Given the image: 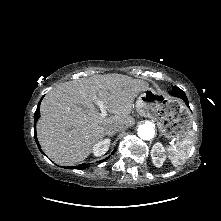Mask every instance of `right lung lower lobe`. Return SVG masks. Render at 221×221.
<instances>
[{"mask_svg":"<svg viewBox=\"0 0 221 221\" xmlns=\"http://www.w3.org/2000/svg\"><path fill=\"white\" fill-rule=\"evenodd\" d=\"M42 100V99H41ZM40 100V102H41ZM40 102L38 103V106H37V109H36V112H35V118H34V128H36V122L37 120L39 119L40 117ZM35 131V141L38 145V148L40 149L41 151V147L38 143V140H37V137H36V130L34 129ZM42 152V151H41ZM107 159V158H106ZM87 166V164H80L79 166H74V167H70V169H84L85 167Z\"/></svg>","mask_w":221,"mask_h":221,"instance_id":"right-lung-lower-lobe-1","label":"right lung lower lobe"}]
</instances>
